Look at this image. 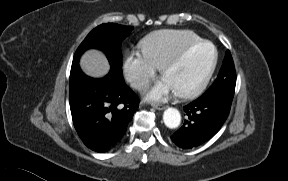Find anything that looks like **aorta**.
I'll use <instances>...</instances> for the list:
<instances>
[{
  "label": "aorta",
  "mask_w": 288,
  "mask_h": 181,
  "mask_svg": "<svg viewBox=\"0 0 288 181\" xmlns=\"http://www.w3.org/2000/svg\"><path fill=\"white\" fill-rule=\"evenodd\" d=\"M163 121L168 128H177L181 123L180 112L176 108H167L163 114Z\"/></svg>",
  "instance_id": "762f6f07"
}]
</instances>
